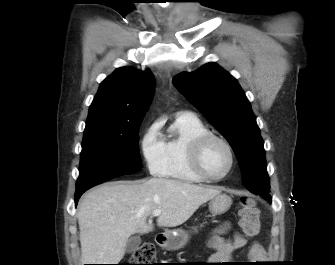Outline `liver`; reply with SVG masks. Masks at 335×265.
I'll return each mask as SVG.
<instances>
[{
	"mask_svg": "<svg viewBox=\"0 0 335 265\" xmlns=\"http://www.w3.org/2000/svg\"><path fill=\"white\" fill-rule=\"evenodd\" d=\"M220 193L215 187L163 178L94 188L83 197L77 213L82 265L118 264L132 234L153 230L147 223L153 211L161 210L159 227H176Z\"/></svg>",
	"mask_w": 335,
	"mask_h": 265,
	"instance_id": "1",
	"label": "liver"
}]
</instances>
